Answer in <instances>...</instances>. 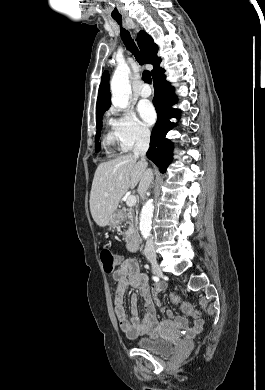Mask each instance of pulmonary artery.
I'll return each instance as SVG.
<instances>
[{
    "mask_svg": "<svg viewBox=\"0 0 265 390\" xmlns=\"http://www.w3.org/2000/svg\"><path fill=\"white\" fill-rule=\"evenodd\" d=\"M137 93L139 94L140 97L147 98L151 95V89L148 85L141 84L137 89Z\"/></svg>",
    "mask_w": 265,
    "mask_h": 390,
    "instance_id": "1",
    "label": "pulmonary artery"
}]
</instances>
